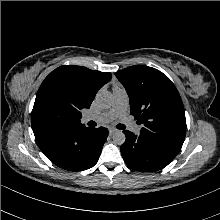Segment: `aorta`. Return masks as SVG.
Listing matches in <instances>:
<instances>
[{
  "instance_id": "762f6f07",
  "label": "aorta",
  "mask_w": 220,
  "mask_h": 220,
  "mask_svg": "<svg viewBox=\"0 0 220 220\" xmlns=\"http://www.w3.org/2000/svg\"><path fill=\"white\" fill-rule=\"evenodd\" d=\"M96 102L102 108H108L113 104V95L108 91L97 93ZM126 140L125 134L118 130L113 134V142L117 145H122Z\"/></svg>"
}]
</instances>
